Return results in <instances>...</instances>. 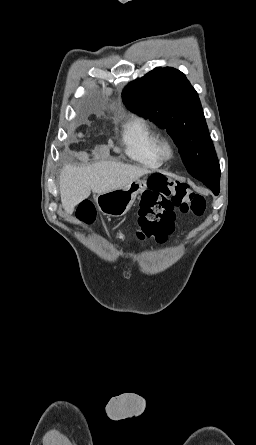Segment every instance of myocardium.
<instances>
[{
	"label": "myocardium",
	"mask_w": 256,
	"mask_h": 445,
	"mask_svg": "<svg viewBox=\"0 0 256 445\" xmlns=\"http://www.w3.org/2000/svg\"><path fill=\"white\" fill-rule=\"evenodd\" d=\"M159 152L164 160L171 159L175 153L172 142L166 138L161 139L159 143Z\"/></svg>",
	"instance_id": "obj_1"
}]
</instances>
